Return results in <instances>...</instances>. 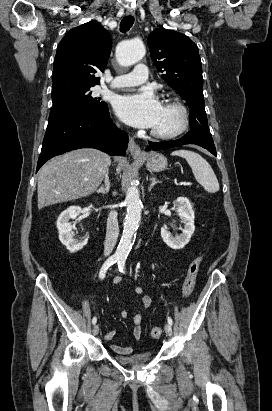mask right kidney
<instances>
[{"label":"right kidney","mask_w":272,"mask_h":411,"mask_svg":"<svg viewBox=\"0 0 272 411\" xmlns=\"http://www.w3.org/2000/svg\"><path fill=\"white\" fill-rule=\"evenodd\" d=\"M80 213L81 207L70 206L69 208L64 210L57 219L59 240L71 253L81 250L88 241L87 238L83 241H78L77 239H75L72 232V226L69 222L70 219H75Z\"/></svg>","instance_id":"1"}]
</instances>
